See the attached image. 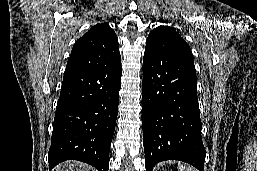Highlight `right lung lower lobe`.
I'll return each mask as SVG.
<instances>
[{"label": "right lung lower lobe", "instance_id": "right-lung-lower-lobe-1", "mask_svg": "<svg viewBox=\"0 0 257 171\" xmlns=\"http://www.w3.org/2000/svg\"><path fill=\"white\" fill-rule=\"evenodd\" d=\"M121 75V60L96 70L64 74L48 153L50 169L71 159L98 171L109 170Z\"/></svg>", "mask_w": 257, "mask_h": 171}]
</instances>
